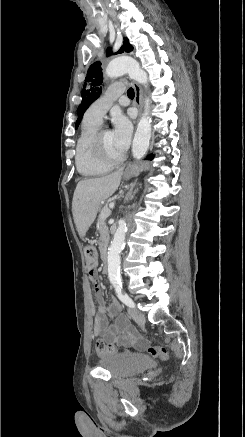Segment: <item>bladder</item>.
Returning a JSON list of instances; mask_svg holds the SVG:
<instances>
[{
    "mask_svg": "<svg viewBox=\"0 0 245 437\" xmlns=\"http://www.w3.org/2000/svg\"><path fill=\"white\" fill-rule=\"evenodd\" d=\"M100 365L115 378H126L150 368L154 361L137 353H109L100 357Z\"/></svg>",
    "mask_w": 245,
    "mask_h": 437,
    "instance_id": "bladder-1",
    "label": "bladder"
}]
</instances>
